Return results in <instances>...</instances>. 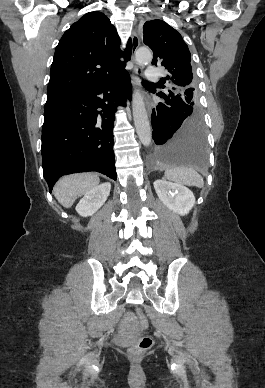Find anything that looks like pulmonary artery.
<instances>
[{
  "label": "pulmonary artery",
  "instance_id": "pulmonary-artery-1",
  "mask_svg": "<svg viewBox=\"0 0 265 388\" xmlns=\"http://www.w3.org/2000/svg\"><path fill=\"white\" fill-rule=\"evenodd\" d=\"M156 70V64H149L148 71L143 74V77L145 79H149V82H159L161 80V77L156 74Z\"/></svg>",
  "mask_w": 265,
  "mask_h": 388
}]
</instances>
